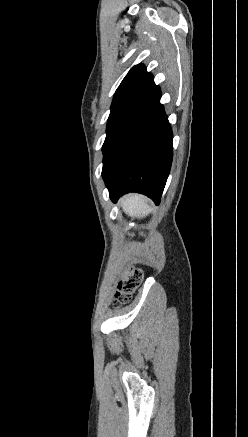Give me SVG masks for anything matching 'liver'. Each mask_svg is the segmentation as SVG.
Here are the masks:
<instances>
[{"mask_svg":"<svg viewBox=\"0 0 248 437\" xmlns=\"http://www.w3.org/2000/svg\"><path fill=\"white\" fill-rule=\"evenodd\" d=\"M121 207L123 211L131 217H143L151 211L147 204V199L138 194H129L122 198Z\"/></svg>","mask_w":248,"mask_h":437,"instance_id":"6515ba94","label":"liver"}]
</instances>
